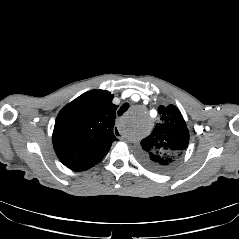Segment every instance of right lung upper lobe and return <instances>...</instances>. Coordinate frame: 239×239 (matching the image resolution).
<instances>
[{"mask_svg": "<svg viewBox=\"0 0 239 239\" xmlns=\"http://www.w3.org/2000/svg\"><path fill=\"white\" fill-rule=\"evenodd\" d=\"M106 90L88 91L67 104L58 114L53 146L69 169L84 171L108 153L114 136L117 105Z\"/></svg>", "mask_w": 239, "mask_h": 239, "instance_id": "obj_1", "label": "right lung upper lobe"}]
</instances>
